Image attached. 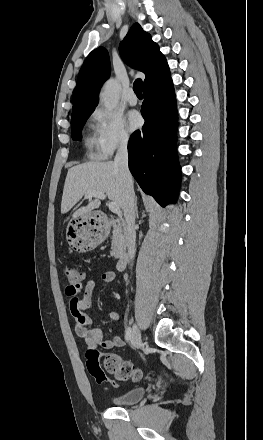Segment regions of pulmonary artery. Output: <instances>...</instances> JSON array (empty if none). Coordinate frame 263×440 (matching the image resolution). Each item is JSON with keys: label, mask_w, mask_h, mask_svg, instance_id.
Masks as SVG:
<instances>
[{"label": "pulmonary artery", "mask_w": 263, "mask_h": 440, "mask_svg": "<svg viewBox=\"0 0 263 440\" xmlns=\"http://www.w3.org/2000/svg\"><path fill=\"white\" fill-rule=\"evenodd\" d=\"M126 100H127V102H128L130 105H132V106H134V105L137 104V97H136V95L134 94L133 90H129V91H128V93H127V95H126Z\"/></svg>", "instance_id": "obj_1"}]
</instances>
